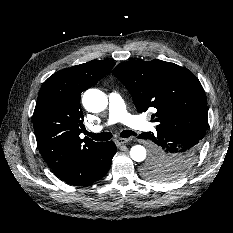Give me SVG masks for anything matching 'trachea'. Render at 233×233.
<instances>
[{
  "instance_id": "3493384b",
  "label": "trachea",
  "mask_w": 233,
  "mask_h": 233,
  "mask_svg": "<svg viewBox=\"0 0 233 233\" xmlns=\"http://www.w3.org/2000/svg\"><path fill=\"white\" fill-rule=\"evenodd\" d=\"M86 135H88L89 137L93 138L96 141H108L111 139L112 134L110 132H101V133H91L86 131L85 133ZM132 135H136V133L134 131L131 130H124L120 133V136L122 138H128Z\"/></svg>"
}]
</instances>
